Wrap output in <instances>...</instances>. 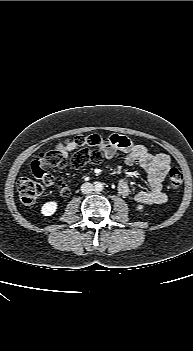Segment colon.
<instances>
[{
    "label": "colon",
    "mask_w": 193,
    "mask_h": 351,
    "mask_svg": "<svg viewBox=\"0 0 193 351\" xmlns=\"http://www.w3.org/2000/svg\"><path fill=\"white\" fill-rule=\"evenodd\" d=\"M78 151L71 157L69 164L72 168H82L89 163H99L103 159L102 149L110 146L109 137L99 135L78 136L74 140ZM67 163L66 159L57 152H47L41 154L32 162L34 175L42 182L34 181L23 177L17 182L19 197L24 204L35 203L44 193L45 186H55L62 195H67L69 186L62 180H55L46 172L47 167H63ZM169 185L173 189L181 186L183 175L177 167H171L168 171Z\"/></svg>",
    "instance_id": "colon-1"
}]
</instances>
